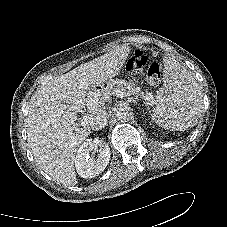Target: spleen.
Wrapping results in <instances>:
<instances>
[{
  "instance_id": "obj_1",
  "label": "spleen",
  "mask_w": 227,
  "mask_h": 227,
  "mask_svg": "<svg viewBox=\"0 0 227 227\" xmlns=\"http://www.w3.org/2000/svg\"><path fill=\"white\" fill-rule=\"evenodd\" d=\"M164 95L154 108L151 118L159 126L187 130L202 115L203 102L198 85L188 70L175 59L164 60Z\"/></svg>"
}]
</instances>
